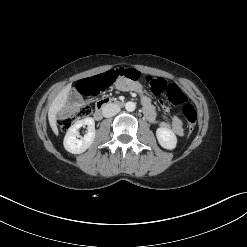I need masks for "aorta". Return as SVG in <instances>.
Returning <instances> with one entry per match:
<instances>
[{"instance_id":"1","label":"aorta","mask_w":247,"mask_h":247,"mask_svg":"<svg viewBox=\"0 0 247 247\" xmlns=\"http://www.w3.org/2000/svg\"><path fill=\"white\" fill-rule=\"evenodd\" d=\"M125 109L128 112H133L136 109V104L134 102L129 101L125 104Z\"/></svg>"}]
</instances>
